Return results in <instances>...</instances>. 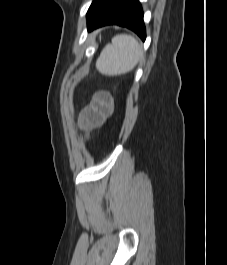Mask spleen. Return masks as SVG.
<instances>
[{
    "mask_svg": "<svg viewBox=\"0 0 227 265\" xmlns=\"http://www.w3.org/2000/svg\"><path fill=\"white\" fill-rule=\"evenodd\" d=\"M142 57L138 41L131 35L119 34L104 47L96 61V68L103 75H121L134 69Z\"/></svg>",
    "mask_w": 227,
    "mask_h": 265,
    "instance_id": "obj_1",
    "label": "spleen"
}]
</instances>
